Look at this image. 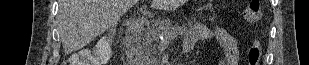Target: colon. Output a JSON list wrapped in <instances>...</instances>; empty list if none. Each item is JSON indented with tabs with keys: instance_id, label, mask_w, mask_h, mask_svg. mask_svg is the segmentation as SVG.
Masks as SVG:
<instances>
[{
	"instance_id": "5ec220e1",
	"label": "colon",
	"mask_w": 309,
	"mask_h": 65,
	"mask_svg": "<svg viewBox=\"0 0 309 65\" xmlns=\"http://www.w3.org/2000/svg\"><path fill=\"white\" fill-rule=\"evenodd\" d=\"M245 21L256 23L262 18V8L258 0H253L243 13ZM113 36L106 35L97 40L91 49H84L78 52L72 63L75 65H101L110 57L113 45ZM262 55V44L259 40H254L247 52V64L259 65Z\"/></svg>"
}]
</instances>
